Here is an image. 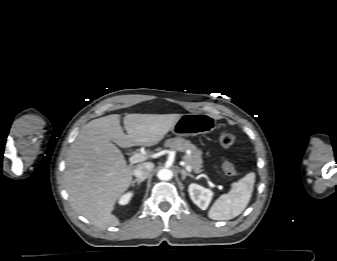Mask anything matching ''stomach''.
<instances>
[{
	"instance_id": "0dacf381",
	"label": "stomach",
	"mask_w": 337,
	"mask_h": 261,
	"mask_svg": "<svg viewBox=\"0 0 337 261\" xmlns=\"http://www.w3.org/2000/svg\"><path fill=\"white\" fill-rule=\"evenodd\" d=\"M216 127L212 116L205 113L182 114L171 131L178 136H196L212 132Z\"/></svg>"
}]
</instances>
